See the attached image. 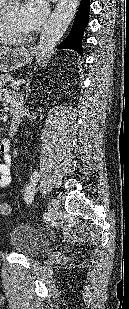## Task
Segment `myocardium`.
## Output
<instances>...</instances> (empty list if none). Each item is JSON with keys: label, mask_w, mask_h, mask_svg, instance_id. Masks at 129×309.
I'll list each match as a JSON object with an SVG mask.
<instances>
[{"label": "myocardium", "mask_w": 129, "mask_h": 309, "mask_svg": "<svg viewBox=\"0 0 129 309\" xmlns=\"http://www.w3.org/2000/svg\"><path fill=\"white\" fill-rule=\"evenodd\" d=\"M13 16H9L8 14L5 15H0V33L1 36H3L4 33L8 32V29L10 27H14L15 26V19Z\"/></svg>", "instance_id": "obj_1"}]
</instances>
